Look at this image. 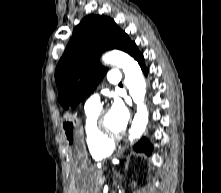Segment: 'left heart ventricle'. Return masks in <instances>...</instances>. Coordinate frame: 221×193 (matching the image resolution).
I'll return each mask as SVG.
<instances>
[{"label": "left heart ventricle", "instance_id": "obj_1", "mask_svg": "<svg viewBox=\"0 0 221 193\" xmlns=\"http://www.w3.org/2000/svg\"><path fill=\"white\" fill-rule=\"evenodd\" d=\"M104 124L106 129L111 133L116 134L121 132L118 126L116 125L115 121L113 120L111 114L108 112L104 116Z\"/></svg>", "mask_w": 221, "mask_h": 193}]
</instances>
